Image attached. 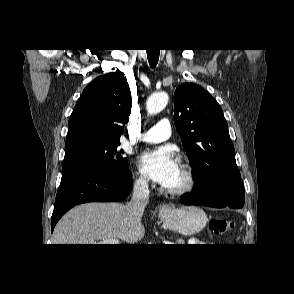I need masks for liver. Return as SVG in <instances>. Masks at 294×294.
<instances>
[{
  "mask_svg": "<svg viewBox=\"0 0 294 294\" xmlns=\"http://www.w3.org/2000/svg\"><path fill=\"white\" fill-rule=\"evenodd\" d=\"M145 234L141 221L133 218L128 205L86 203L68 211L57 223L53 244H98L114 238L133 244Z\"/></svg>",
  "mask_w": 294,
  "mask_h": 294,
  "instance_id": "1",
  "label": "liver"
}]
</instances>
